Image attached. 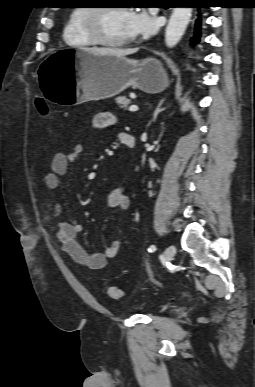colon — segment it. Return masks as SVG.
<instances>
[{
  "instance_id": "obj_1",
  "label": "colon",
  "mask_w": 255,
  "mask_h": 387,
  "mask_svg": "<svg viewBox=\"0 0 255 387\" xmlns=\"http://www.w3.org/2000/svg\"><path fill=\"white\" fill-rule=\"evenodd\" d=\"M35 104H36V107H37L39 113L42 116H47L48 115L49 108H48L47 103L43 99L37 98L36 101H35ZM106 292H107V295L110 298H112V299H118V298H120L122 296V291L117 286H109V287H107Z\"/></svg>"
}]
</instances>
